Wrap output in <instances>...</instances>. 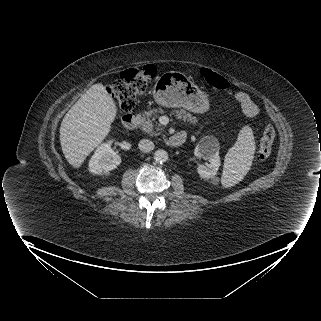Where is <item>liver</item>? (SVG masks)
<instances>
[{
    "instance_id": "obj_1",
    "label": "liver",
    "mask_w": 321,
    "mask_h": 321,
    "mask_svg": "<svg viewBox=\"0 0 321 321\" xmlns=\"http://www.w3.org/2000/svg\"><path fill=\"white\" fill-rule=\"evenodd\" d=\"M117 114L116 104L101 83L91 86L64 116L60 127L63 154L74 168L106 138Z\"/></svg>"
}]
</instances>
